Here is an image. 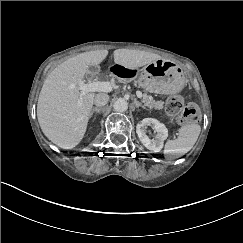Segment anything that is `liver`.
<instances>
[{
	"instance_id": "obj_1",
	"label": "liver",
	"mask_w": 243,
	"mask_h": 243,
	"mask_svg": "<svg viewBox=\"0 0 243 243\" xmlns=\"http://www.w3.org/2000/svg\"><path fill=\"white\" fill-rule=\"evenodd\" d=\"M108 56V51L83 52L69 58L54 68L45 79L37 103V119L44 135L62 149H74L85 136L94 92L82 93L78 82L89 73V67L99 66ZM114 63L127 69H136L161 59L158 54L117 49L113 52ZM124 83L119 79L118 84ZM81 101L80 108H77Z\"/></svg>"
}]
</instances>
